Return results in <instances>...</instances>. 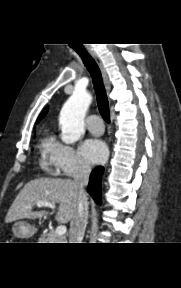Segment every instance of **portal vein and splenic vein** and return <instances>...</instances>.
<instances>
[{
    "mask_svg": "<svg viewBox=\"0 0 181 288\" xmlns=\"http://www.w3.org/2000/svg\"><path fill=\"white\" fill-rule=\"evenodd\" d=\"M37 207H49L51 209H55V204L50 203V202H44V201H38L36 203ZM66 226L65 225H59L56 228V234L59 236H62L66 233Z\"/></svg>",
    "mask_w": 181,
    "mask_h": 288,
    "instance_id": "18ae733b",
    "label": "portal vein and splenic vein"
}]
</instances>
